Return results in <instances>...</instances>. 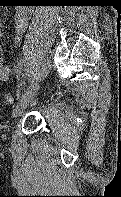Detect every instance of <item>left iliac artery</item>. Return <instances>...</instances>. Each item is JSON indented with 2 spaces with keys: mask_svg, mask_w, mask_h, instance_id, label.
Segmentation results:
<instances>
[{
  "mask_svg": "<svg viewBox=\"0 0 121 197\" xmlns=\"http://www.w3.org/2000/svg\"><path fill=\"white\" fill-rule=\"evenodd\" d=\"M28 62V57L27 56H23L17 63L16 67H15V73L17 78L21 75L23 69L26 67ZM25 91V88L18 86V91H17V97L19 98L21 93H23Z\"/></svg>",
  "mask_w": 121,
  "mask_h": 197,
  "instance_id": "obj_1",
  "label": "left iliac artery"
}]
</instances>
